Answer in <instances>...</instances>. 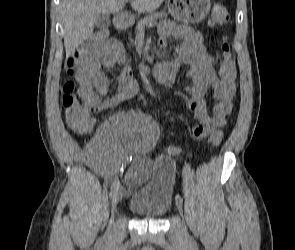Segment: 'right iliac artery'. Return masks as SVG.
<instances>
[{
	"mask_svg": "<svg viewBox=\"0 0 295 250\" xmlns=\"http://www.w3.org/2000/svg\"><path fill=\"white\" fill-rule=\"evenodd\" d=\"M119 186H120V181L117 180L111 187L110 197H112L118 191Z\"/></svg>",
	"mask_w": 295,
	"mask_h": 250,
	"instance_id": "obj_1",
	"label": "right iliac artery"
}]
</instances>
